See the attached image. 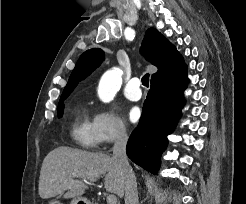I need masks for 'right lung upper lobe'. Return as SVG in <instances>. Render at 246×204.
<instances>
[{
  "mask_svg": "<svg viewBox=\"0 0 246 204\" xmlns=\"http://www.w3.org/2000/svg\"><path fill=\"white\" fill-rule=\"evenodd\" d=\"M141 50L146 59L158 68V72L153 74L152 78L185 66L175 46L155 28L146 31ZM103 59L104 53L101 49L93 48L84 52L78 59L61 98L68 97L77 84L98 67Z\"/></svg>",
  "mask_w": 246,
  "mask_h": 204,
  "instance_id": "cb5924a9",
  "label": "right lung upper lobe"
}]
</instances>
